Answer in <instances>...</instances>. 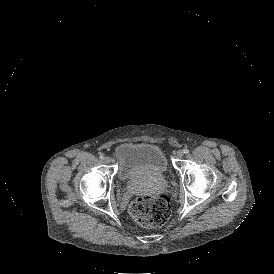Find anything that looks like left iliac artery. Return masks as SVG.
Instances as JSON below:
<instances>
[{
  "label": "left iliac artery",
  "instance_id": "obj_1",
  "mask_svg": "<svg viewBox=\"0 0 274 274\" xmlns=\"http://www.w3.org/2000/svg\"><path fill=\"white\" fill-rule=\"evenodd\" d=\"M184 153H185V154H188V153H189V149H187V148L184 149Z\"/></svg>",
  "mask_w": 274,
  "mask_h": 274
}]
</instances>
